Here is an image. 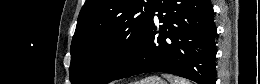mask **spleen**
<instances>
[{"label": "spleen", "mask_w": 260, "mask_h": 84, "mask_svg": "<svg viewBox=\"0 0 260 84\" xmlns=\"http://www.w3.org/2000/svg\"><path fill=\"white\" fill-rule=\"evenodd\" d=\"M163 77L168 79L171 84H191L190 81H188L184 78L175 77L173 75L163 74Z\"/></svg>", "instance_id": "3e777b00"}]
</instances>
